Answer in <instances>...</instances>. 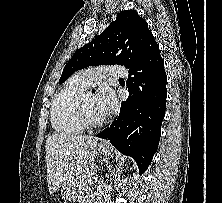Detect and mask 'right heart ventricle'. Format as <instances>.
<instances>
[{
  "label": "right heart ventricle",
  "mask_w": 222,
  "mask_h": 203,
  "mask_svg": "<svg viewBox=\"0 0 222 203\" xmlns=\"http://www.w3.org/2000/svg\"><path fill=\"white\" fill-rule=\"evenodd\" d=\"M86 88L74 79L68 80L53 100L51 107V122L54 130L63 135H77L85 127L81 123L77 104Z\"/></svg>",
  "instance_id": "1"
}]
</instances>
